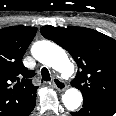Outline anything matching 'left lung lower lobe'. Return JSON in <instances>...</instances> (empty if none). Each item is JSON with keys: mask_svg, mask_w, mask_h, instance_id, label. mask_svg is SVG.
I'll list each match as a JSON object with an SVG mask.
<instances>
[{"mask_svg": "<svg viewBox=\"0 0 116 116\" xmlns=\"http://www.w3.org/2000/svg\"><path fill=\"white\" fill-rule=\"evenodd\" d=\"M83 107L72 116H112L116 113V101L104 98H83Z\"/></svg>", "mask_w": 116, "mask_h": 116, "instance_id": "left-lung-lower-lobe-1", "label": "left lung lower lobe"}]
</instances>
